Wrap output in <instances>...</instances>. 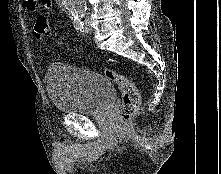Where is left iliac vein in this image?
I'll use <instances>...</instances> for the list:
<instances>
[{
    "label": "left iliac vein",
    "mask_w": 221,
    "mask_h": 174,
    "mask_svg": "<svg viewBox=\"0 0 221 174\" xmlns=\"http://www.w3.org/2000/svg\"><path fill=\"white\" fill-rule=\"evenodd\" d=\"M84 30H85L86 33H91L92 32V27H91L90 23L88 22V20L85 21Z\"/></svg>",
    "instance_id": "obj_1"
}]
</instances>
